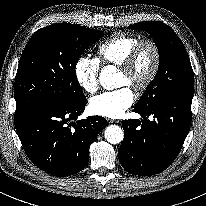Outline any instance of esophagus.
Segmentation results:
<instances>
[{
	"label": "esophagus",
	"instance_id": "1",
	"mask_svg": "<svg viewBox=\"0 0 206 206\" xmlns=\"http://www.w3.org/2000/svg\"><path fill=\"white\" fill-rule=\"evenodd\" d=\"M109 123H119V120H115V119H108Z\"/></svg>",
	"mask_w": 206,
	"mask_h": 206
}]
</instances>
